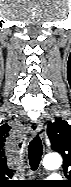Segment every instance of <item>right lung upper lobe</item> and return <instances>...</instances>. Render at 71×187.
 <instances>
[{"label": "right lung upper lobe", "mask_w": 71, "mask_h": 187, "mask_svg": "<svg viewBox=\"0 0 71 187\" xmlns=\"http://www.w3.org/2000/svg\"><path fill=\"white\" fill-rule=\"evenodd\" d=\"M9 130H10V127L7 124H4L0 127V139H1L2 144L5 141L6 136H8ZM19 146H21V144H19ZM0 161H1V165H2L1 169H2L3 173L7 174L9 172V169L6 166V157H5L4 149H2L0 152Z\"/></svg>", "instance_id": "obj_1"}]
</instances>
